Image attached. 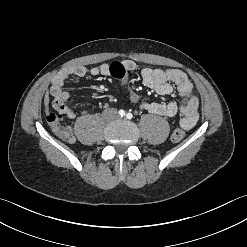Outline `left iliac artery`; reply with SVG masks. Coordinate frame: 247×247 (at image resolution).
I'll return each mask as SVG.
<instances>
[{"label": "left iliac artery", "mask_w": 247, "mask_h": 247, "mask_svg": "<svg viewBox=\"0 0 247 247\" xmlns=\"http://www.w3.org/2000/svg\"><path fill=\"white\" fill-rule=\"evenodd\" d=\"M126 118H127V119H132V118H133V115H132L131 113H127V114H126Z\"/></svg>", "instance_id": "obj_1"}]
</instances>
